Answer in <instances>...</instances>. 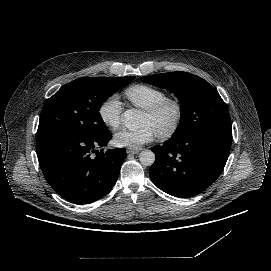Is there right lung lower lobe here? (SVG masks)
Segmentation results:
<instances>
[{
  "label": "right lung lower lobe",
  "mask_w": 271,
  "mask_h": 271,
  "mask_svg": "<svg viewBox=\"0 0 271 271\" xmlns=\"http://www.w3.org/2000/svg\"><path fill=\"white\" fill-rule=\"evenodd\" d=\"M110 139L108 129L95 136L68 131L37 135L39 164L55 192L77 204H87L108 194L118 179L126 151H100L95 157L91 153L96 152L95 147L107 145Z\"/></svg>",
  "instance_id": "obj_1"
}]
</instances>
